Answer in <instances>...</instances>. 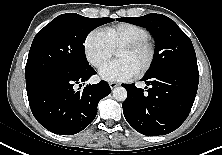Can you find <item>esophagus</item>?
<instances>
[{"mask_svg": "<svg viewBox=\"0 0 222 155\" xmlns=\"http://www.w3.org/2000/svg\"><path fill=\"white\" fill-rule=\"evenodd\" d=\"M109 86H110L111 89H114V88H116L118 86V84L115 83V82H110Z\"/></svg>", "mask_w": 222, "mask_h": 155, "instance_id": "obj_1", "label": "esophagus"}]
</instances>
